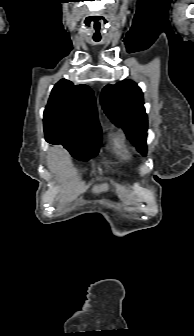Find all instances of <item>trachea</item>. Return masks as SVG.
I'll list each match as a JSON object with an SVG mask.
<instances>
[{
	"label": "trachea",
	"mask_w": 194,
	"mask_h": 336,
	"mask_svg": "<svg viewBox=\"0 0 194 336\" xmlns=\"http://www.w3.org/2000/svg\"><path fill=\"white\" fill-rule=\"evenodd\" d=\"M95 28H97V25L95 24ZM98 28H99V26H98Z\"/></svg>",
	"instance_id": "obj_1"
}]
</instances>
